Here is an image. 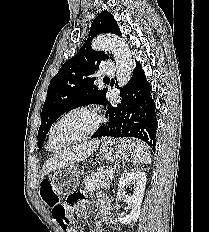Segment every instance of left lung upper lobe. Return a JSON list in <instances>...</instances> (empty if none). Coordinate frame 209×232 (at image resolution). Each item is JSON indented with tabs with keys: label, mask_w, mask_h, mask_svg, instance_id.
<instances>
[{
	"label": "left lung upper lobe",
	"mask_w": 209,
	"mask_h": 232,
	"mask_svg": "<svg viewBox=\"0 0 209 232\" xmlns=\"http://www.w3.org/2000/svg\"><path fill=\"white\" fill-rule=\"evenodd\" d=\"M101 33L121 35L117 21L108 11H102L93 20L84 45L52 78L41 113L39 148L42 147L52 124L69 109L91 103L107 104V88L99 90L93 77L99 63L109 58L104 52L94 51L91 47V40Z\"/></svg>",
	"instance_id": "obj_1"
}]
</instances>
